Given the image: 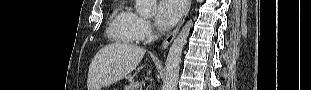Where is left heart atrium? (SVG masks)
<instances>
[{"instance_id": "1", "label": "left heart atrium", "mask_w": 311, "mask_h": 90, "mask_svg": "<svg viewBox=\"0 0 311 90\" xmlns=\"http://www.w3.org/2000/svg\"><path fill=\"white\" fill-rule=\"evenodd\" d=\"M182 0H161L155 11V21L161 30L171 28L180 18L183 11Z\"/></svg>"}]
</instances>
